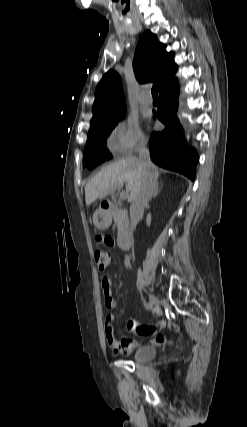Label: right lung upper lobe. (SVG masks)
Returning a JSON list of instances; mask_svg holds the SVG:
<instances>
[{
	"label": "right lung upper lobe",
	"instance_id": "obj_1",
	"mask_svg": "<svg viewBox=\"0 0 247 427\" xmlns=\"http://www.w3.org/2000/svg\"><path fill=\"white\" fill-rule=\"evenodd\" d=\"M173 52H167L157 36L146 31L141 37L134 56V71L140 83L153 82L160 92L172 79L177 70ZM124 111V100L118 74L108 71L95 90L93 118L90 129L117 118Z\"/></svg>",
	"mask_w": 247,
	"mask_h": 427
}]
</instances>
